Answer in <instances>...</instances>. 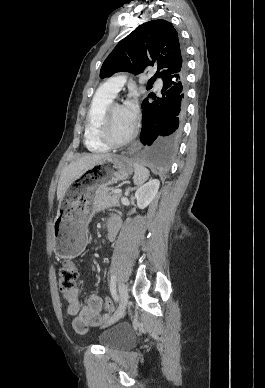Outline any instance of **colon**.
Wrapping results in <instances>:
<instances>
[{
    "mask_svg": "<svg viewBox=\"0 0 265 388\" xmlns=\"http://www.w3.org/2000/svg\"><path fill=\"white\" fill-rule=\"evenodd\" d=\"M78 279V267L74 260L64 261L59 271V289L63 294L69 293L76 285ZM105 312H111L113 310L112 302L109 298L103 300Z\"/></svg>",
    "mask_w": 265,
    "mask_h": 388,
    "instance_id": "1",
    "label": "colon"
}]
</instances>
